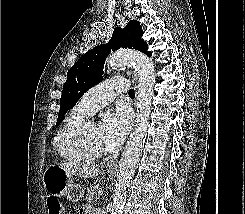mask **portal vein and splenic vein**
I'll return each mask as SVG.
<instances>
[{
	"mask_svg": "<svg viewBox=\"0 0 245 214\" xmlns=\"http://www.w3.org/2000/svg\"><path fill=\"white\" fill-rule=\"evenodd\" d=\"M98 195H99V196L103 195V191H99V192H98Z\"/></svg>",
	"mask_w": 245,
	"mask_h": 214,
	"instance_id": "obj_1",
	"label": "portal vein and splenic vein"
}]
</instances>
